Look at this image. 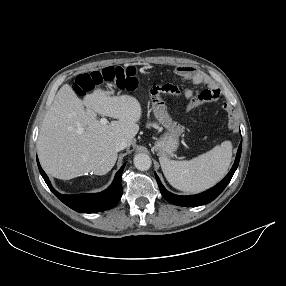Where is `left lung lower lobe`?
Listing matches in <instances>:
<instances>
[{"mask_svg":"<svg viewBox=\"0 0 286 286\" xmlns=\"http://www.w3.org/2000/svg\"><path fill=\"white\" fill-rule=\"evenodd\" d=\"M241 148H242V142L239 145L238 151H237V156L234 162V165L228 175L215 187L201 193L198 195H193V196H179L170 193L165 189V187L162 185L160 179L158 178L157 174H155L156 180L158 182V186L160 188L161 194L164 196V198L169 201L170 203L178 206H186V207H195V206H200L207 204L211 201H213L223 190L224 188L228 185L230 182L232 176L234 175L238 164H239V159L241 156Z\"/></svg>","mask_w":286,"mask_h":286,"instance_id":"left-lung-lower-lobe-1","label":"left lung lower lobe"}]
</instances>
